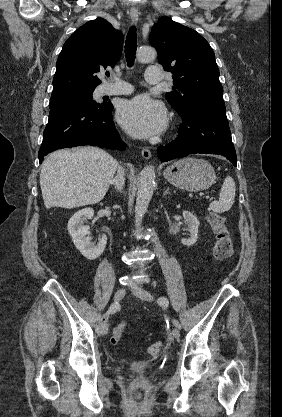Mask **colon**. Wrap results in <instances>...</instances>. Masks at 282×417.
Returning <instances> with one entry per match:
<instances>
[{
  "instance_id": "5ec220e1",
  "label": "colon",
  "mask_w": 282,
  "mask_h": 417,
  "mask_svg": "<svg viewBox=\"0 0 282 417\" xmlns=\"http://www.w3.org/2000/svg\"><path fill=\"white\" fill-rule=\"evenodd\" d=\"M206 219L215 237L213 249L215 259L218 262L228 260L233 252V242L228 230V221L226 217L216 212H210L208 213ZM127 326L128 323L123 322L113 329L112 336L110 338V343L113 346L119 343V340L125 332ZM161 353L162 344L159 342L152 343L147 347V355L151 359L160 357ZM134 396L136 397L137 402H142L143 397L145 396V391L143 389H136L134 391Z\"/></svg>"
}]
</instances>
